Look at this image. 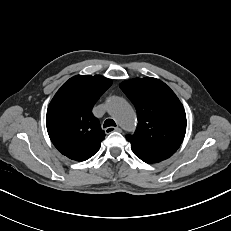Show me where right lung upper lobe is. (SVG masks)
<instances>
[{"label": "right lung upper lobe", "instance_id": "1", "mask_svg": "<svg viewBox=\"0 0 231 231\" xmlns=\"http://www.w3.org/2000/svg\"><path fill=\"white\" fill-rule=\"evenodd\" d=\"M111 84L101 75H76L57 91L48 107L46 126L63 155L85 161L98 152L105 133L92 108Z\"/></svg>", "mask_w": 231, "mask_h": 231}]
</instances>
